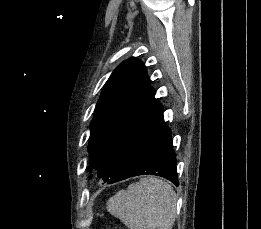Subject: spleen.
Listing matches in <instances>:
<instances>
[{"instance_id":"spleen-1","label":"spleen","mask_w":261,"mask_h":229,"mask_svg":"<svg viewBox=\"0 0 261 229\" xmlns=\"http://www.w3.org/2000/svg\"><path fill=\"white\" fill-rule=\"evenodd\" d=\"M106 209L129 229H173L176 193L166 181L146 177L118 191Z\"/></svg>"}]
</instances>
